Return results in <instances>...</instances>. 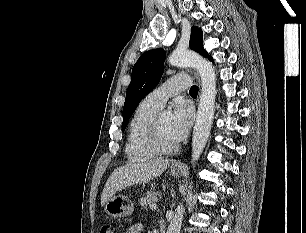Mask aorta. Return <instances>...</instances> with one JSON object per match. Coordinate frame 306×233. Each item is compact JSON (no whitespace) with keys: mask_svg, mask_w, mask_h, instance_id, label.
Here are the masks:
<instances>
[{"mask_svg":"<svg viewBox=\"0 0 306 233\" xmlns=\"http://www.w3.org/2000/svg\"><path fill=\"white\" fill-rule=\"evenodd\" d=\"M169 63L176 67H193L198 71L201 78L202 89L193 129L191 151V162L195 166L206 146L214 119L217 93L215 70L209 61L188 50H175L169 57ZM183 212L184 207L179 204L168 226L167 233H180Z\"/></svg>","mask_w":306,"mask_h":233,"instance_id":"aorta-1","label":"aorta"}]
</instances>
